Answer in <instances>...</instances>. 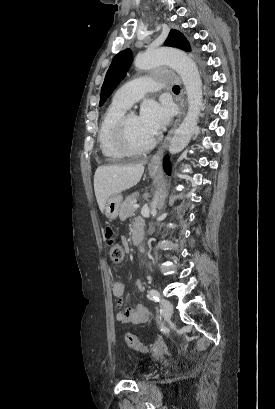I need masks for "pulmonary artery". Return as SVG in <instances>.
<instances>
[{
	"label": "pulmonary artery",
	"mask_w": 275,
	"mask_h": 409,
	"mask_svg": "<svg viewBox=\"0 0 275 409\" xmlns=\"http://www.w3.org/2000/svg\"><path fill=\"white\" fill-rule=\"evenodd\" d=\"M160 85L161 82L158 79H148L145 76L141 79H130L129 85H118L113 103L129 109L143 94H150L152 88H158Z\"/></svg>",
	"instance_id": "1"
}]
</instances>
